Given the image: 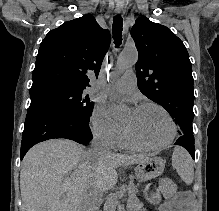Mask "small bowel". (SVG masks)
<instances>
[{
  "label": "small bowel",
  "instance_id": "small-bowel-1",
  "mask_svg": "<svg viewBox=\"0 0 219 211\" xmlns=\"http://www.w3.org/2000/svg\"><path fill=\"white\" fill-rule=\"evenodd\" d=\"M148 200L152 205H159V211H192L193 196L189 193H181L178 201H161L158 192L150 190Z\"/></svg>",
  "mask_w": 219,
  "mask_h": 211
}]
</instances>
